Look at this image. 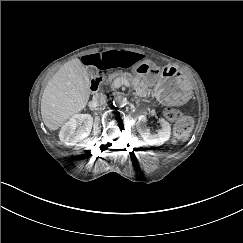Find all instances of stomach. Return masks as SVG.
Returning a JSON list of instances; mask_svg holds the SVG:
<instances>
[{
    "mask_svg": "<svg viewBox=\"0 0 243 243\" xmlns=\"http://www.w3.org/2000/svg\"><path fill=\"white\" fill-rule=\"evenodd\" d=\"M135 75L147 87H153L156 98L165 105H182L191 98L189 80L174 67L159 68L144 61L135 68Z\"/></svg>",
    "mask_w": 243,
    "mask_h": 243,
    "instance_id": "stomach-1",
    "label": "stomach"
}]
</instances>
